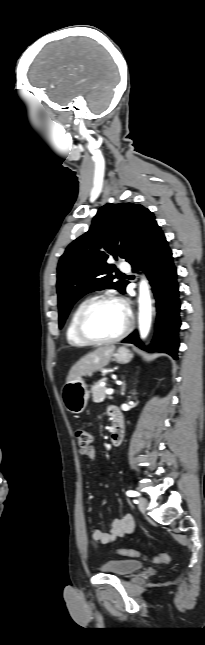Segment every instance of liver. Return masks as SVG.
<instances>
[{
  "mask_svg": "<svg viewBox=\"0 0 205 645\" xmlns=\"http://www.w3.org/2000/svg\"><path fill=\"white\" fill-rule=\"evenodd\" d=\"M115 351V346H102L77 361L69 371L67 382L92 374L107 366Z\"/></svg>",
  "mask_w": 205,
  "mask_h": 645,
  "instance_id": "1",
  "label": "liver"
}]
</instances>
